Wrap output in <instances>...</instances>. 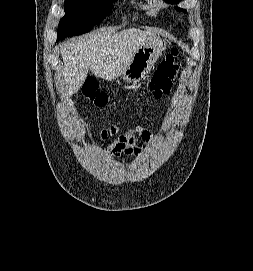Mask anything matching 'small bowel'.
Listing matches in <instances>:
<instances>
[{
    "label": "small bowel",
    "mask_w": 253,
    "mask_h": 271,
    "mask_svg": "<svg viewBox=\"0 0 253 271\" xmlns=\"http://www.w3.org/2000/svg\"><path fill=\"white\" fill-rule=\"evenodd\" d=\"M116 134H118L116 140L108 148V155L114 159H120L123 156L139 158L142 156V151L137 146V138L140 137L144 141L156 139V135L152 131L139 126L129 127L120 131L117 126L112 125L101 132L102 138Z\"/></svg>",
    "instance_id": "obj_1"
}]
</instances>
